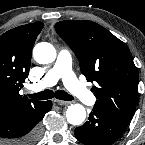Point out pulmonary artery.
Instances as JSON below:
<instances>
[{
  "mask_svg": "<svg viewBox=\"0 0 145 145\" xmlns=\"http://www.w3.org/2000/svg\"><path fill=\"white\" fill-rule=\"evenodd\" d=\"M62 80L68 91L84 104H92L95 101L94 95L81 84L72 71L70 52L66 49L60 51L56 63L46 75L32 89L35 91L51 87Z\"/></svg>",
  "mask_w": 145,
  "mask_h": 145,
  "instance_id": "obj_1",
  "label": "pulmonary artery"
}]
</instances>
